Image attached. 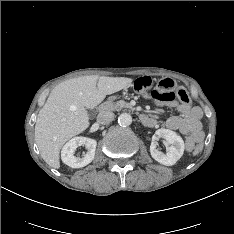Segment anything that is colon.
Here are the masks:
<instances>
[{
  "label": "colon",
  "mask_w": 234,
  "mask_h": 234,
  "mask_svg": "<svg viewBox=\"0 0 234 234\" xmlns=\"http://www.w3.org/2000/svg\"><path fill=\"white\" fill-rule=\"evenodd\" d=\"M152 87L153 81L147 76L140 77L134 82L135 90L141 93L150 91ZM151 96L162 100H173L178 98L185 105L190 102L187 91L183 87L177 86L170 78L160 80L155 88L151 90ZM190 148L193 149L195 153H199L202 150L200 144L193 143Z\"/></svg>",
  "instance_id": "1"
}]
</instances>
